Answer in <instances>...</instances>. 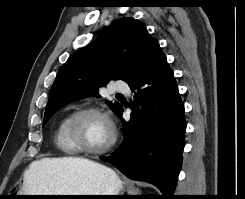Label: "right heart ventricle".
Here are the masks:
<instances>
[{
	"instance_id": "1",
	"label": "right heart ventricle",
	"mask_w": 245,
	"mask_h": 199,
	"mask_svg": "<svg viewBox=\"0 0 245 199\" xmlns=\"http://www.w3.org/2000/svg\"><path fill=\"white\" fill-rule=\"evenodd\" d=\"M70 115L65 116L54 132V141L57 148L66 156H74L78 152L73 148L71 142L66 135V124Z\"/></svg>"
}]
</instances>
